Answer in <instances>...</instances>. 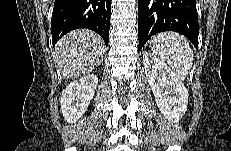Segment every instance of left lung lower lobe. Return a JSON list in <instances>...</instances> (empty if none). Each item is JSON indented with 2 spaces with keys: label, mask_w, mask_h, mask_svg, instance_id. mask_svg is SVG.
<instances>
[{
  "label": "left lung lower lobe",
  "mask_w": 231,
  "mask_h": 151,
  "mask_svg": "<svg viewBox=\"0 0 231 151\" xmlns=\"http://www.w3.org/2000/svg\"><path fill=\"white\" fill-rule=\"evenodd\" d=\"M174 31L186 36L198 49V19L195 0H139V50L159 32Z\"/></svg>",
  "instance_id": "left-lung-lower-lobe-1"
}]
</instances>
